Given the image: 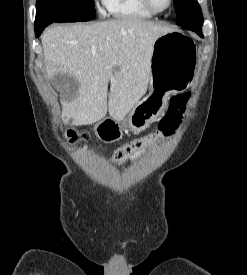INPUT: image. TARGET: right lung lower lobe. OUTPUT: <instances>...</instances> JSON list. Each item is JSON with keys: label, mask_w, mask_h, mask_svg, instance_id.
I'll return each mask as SVG.
<instances>
[{"label": "right lung lower lobe", "mask_w": 247, "mask_h": 275, "mask_svg": "<svg viewBox=\"0 0 247 275\" xmlns=\"http://www.w3.org/2000/svg\"><path fill=\"white\" fill-rule=\"evenodd\" d=\"M48 23L51 24L53 22H48ZM48 23L47 24H35V34H36V37L40 36V34L44 30V28L49 25Z\"/></svg>", "instance_id": "obj_1"}]
</instances>
